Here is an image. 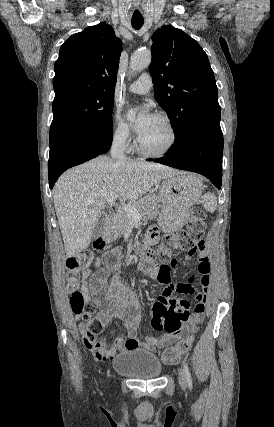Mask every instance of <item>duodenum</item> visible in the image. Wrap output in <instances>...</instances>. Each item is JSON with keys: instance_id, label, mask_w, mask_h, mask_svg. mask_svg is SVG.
<instances>
[{"instance_id": "duodenum-1", "label": "duodenum", "mask_w": 274, "mask_h": 427, "mask_svg": "<svg viewBox=\"0 0 274 427\" xmlns=\"http://www.w3.org/2000/svg\"><path fill=\"white\" fill-rule=\"evenodd\" d=\"M110 224V219L107 218L104 222V226L107 227ZM138 254L141 256L142 261L150 263L154 259V252L149 246H142L137 249Z\"/></svg>"}]
</instances>
